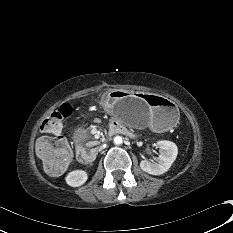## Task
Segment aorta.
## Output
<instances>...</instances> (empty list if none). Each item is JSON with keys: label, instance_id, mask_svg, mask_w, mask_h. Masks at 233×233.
<instances>
[{"label": "aorta", "instance_id": "aorta-1", "mask_svg": "<svg viewBox=\"0 0 233 233\" xmlns=\"http://www.w3.org/2000/svg\"><path fill=\"white\" fill-rule=\"evenodd\" d=\"M114 143H115L116 145L122 144V143H123L122 137H121V136H116V137H114Z\"/></svg>", "mask_w": 233, "mask_h": 233}]
</instances>
